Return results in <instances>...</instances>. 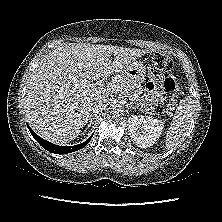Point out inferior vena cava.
I'll list each match as a JSON object with an SVG mask.
<instances>
[{
  "label": "inferior vena cava",
  "instance_id": "inferior-vena-cava-1",
  "mask_svg": "<svg viewBox=\"0 0 222 222\" xmlns=\"http://www.w3.org/2000/svg\"><path fill=\"white\" fill-rule=\"evenodd\" d=\"M108 105V101L106 97H96L90 104L89 109L92 111L95 115L99 112L103 111Z\"/></svg>",
  "mask_w": 222,
  "mask_h": 222
}]
</instances>
